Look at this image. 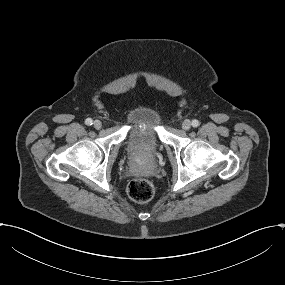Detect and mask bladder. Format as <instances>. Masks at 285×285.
<instances>
[{"mask_svg": "<svg viewBox=\"0 0 285 285\" xmlns=\"http://www.w3.org/2000/svg\"><path fill=\"white\" fill-rule=\"evenodd\" d=\"M160 113L153 108H137L130 115L129 134L124 142L127 153L150 159L161 146Z\"/></svg>", "mask_w": 285, "mask_h": 285, "instance_id": "obj_1", "label": "bladder"}]
</instances>
